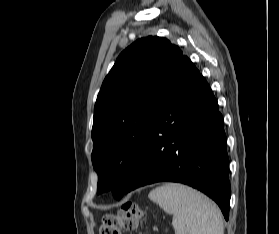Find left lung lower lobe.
<instances>
[{
  "label": "left lung lower lobe",
  "instance_id": "left-lung-lower-lobe-1",
  "mask_svg": "<svg viewBox=\"0 0 279 234\" xmlns=\"http://www.w3.org/2000/svg\"><path fill=\"white\" fill-rule=\"evenodd\" d=\"M228 165L217 100L199 70L183 55L158 103L124 194L159 181L179 182L212 198L228 220Z\"/></svg>",
  "mask_w": 279,
  "mask_h": 234
}]
</instances>
